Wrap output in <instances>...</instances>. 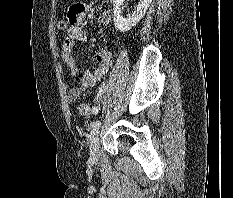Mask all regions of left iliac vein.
<instances>
[{
	"label": "left iliac vein",
	"instance_id": "left-iliac-vein-1",
	"mask_svg": "<svg viewBox=\"0 0 233 198\" xmlns=\"http://www.w3.org/2000/svg\"><path fill=\"white\" fill-rule=\"evenodd\" d=\"M90 156L93 161L99 159V130L93 131L90 138Z\"/></svg>",
	"mask_w": 233,
	"mask_h": 198
}]
</instances>
